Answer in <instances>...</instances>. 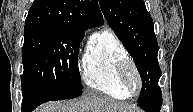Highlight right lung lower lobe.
I'll return each mask as SVG.
<instances>
[{
    "label": "right lung lower lobe",
    "mask_w": 193,
    "mask_h": 112,
    "mask_svg": "<svg viewBox=\"0 0 193 112\" xmlns=\"http://www.w3.org/2000/svg\"><path fill=\"white\" fill-rule=\"evenodd\" d=\"M42 103L43 101H38V100H23L22 112H31Z\"/></svg>",
    "instance_id": "1"
}]
</instances>
